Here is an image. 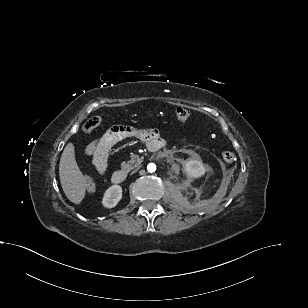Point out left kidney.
I'll return each instance as SVG.
<instances>
[{
  "label": "left kidney",
  "mask_w": 308,
  "mask_h": 308,
  "mask_svg": "<svg viewBox=\"0 0 308 308\" xmlns=\"http://www.w3.org/2000/svg\"><path fill=\"white\" fill-rule=\"evenodd\" d=\"M183 167L189 178H200L206 172L203 163L196 159H190L186 161Z\"/></svg>",
  "instance_id": "left-kidney-1"
}]
</instances>
